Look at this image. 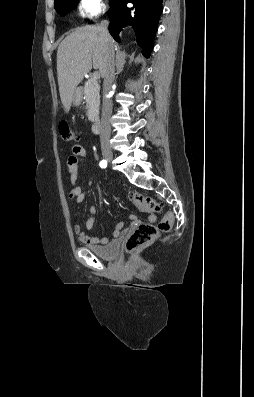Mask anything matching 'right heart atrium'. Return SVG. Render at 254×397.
Wrapping results in <instances>:
<instances>
[{
    "mask_svg": "<svg viewBox=\"0 0 254 397\" xmlns=\"http://www.w3.org/2000/svg\"><path fill=\"white\" fill-rule=\"evenodd\" d=\"M78 14L82 18H95L104 12L105 6L102 0H79Z\"/></svg>",
    "mask_w": 254,
    "mask_h": 397,
    "instance_id": "1",
    "label": "right heart atrium"
}]
</instances>
